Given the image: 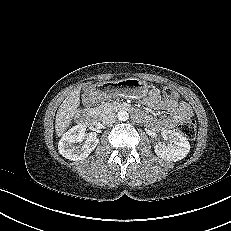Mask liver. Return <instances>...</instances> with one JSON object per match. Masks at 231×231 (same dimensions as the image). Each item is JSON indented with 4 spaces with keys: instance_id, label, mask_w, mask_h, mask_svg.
Listing matches in <instances>:
<instances>
[{
    "instance_id": "1",
    "label": "liver",
    "mask_w": 231,
    "mask_h": 231,
    "mask_svg": "<svg viewBox=\"0 0 231 231\" xmlns=\"http://www.w3.org/2000/svg\"><path fill=\"white\" fill-rule=\"evenodd\" d=\"M80 105V90L70 92L60 105L55 118V131L57 136H63L70 126Z\"/></svg>"
}]
</instances>
